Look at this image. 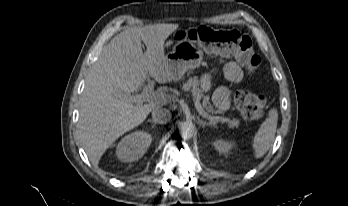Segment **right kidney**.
<instances>
[{"instance_id": "1", "label": "right kidney", "mask_w": 348, "mask_h": 206, "mask_svg": "<svg viewBox=\"0 0 348 206\" xmlns=\"http://www.w3.org/2000/svg\"><path fill=\"white\" fill-rule=\"evenodd\" d=\"M152 142V137L144 131H135L118 143L116 155L122 162H133L140 159Z\"/></svg>"}]
</instances>
